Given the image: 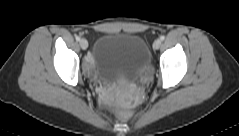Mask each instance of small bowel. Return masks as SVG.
<instances>
[{
    "label": "small bowel",
    "instance_id": "c3829d8e",
    "mask_svg": "<svg viewBox=\"0 0 239 136\" xmlns=\"http://www.w3.org/2000/svg\"><path fill=\"white\" fill-rule=\"evenodd\" d=\"M89 63H92V59H89Z\"/></svg>",
    "mask_w": 239,
    "mask_h": 136
}]
</instances>
